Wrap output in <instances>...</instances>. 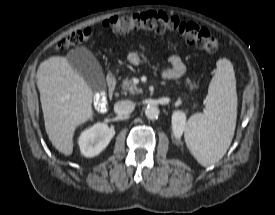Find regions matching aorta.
Masks as SVG:
<instances>
[{
    "label": "aorta",
    "instance_id": "762f6f07",
    "mask_svg": "<svg viewBox=\"0 0 275 215\" xmlns=\"http://www.w3.org/2000/svg\"><path fill=\"white\" fill-rule=\"evenodd\" d=\"M159 113L160 111L156 106H147L145 109V115L150 120L157 119L159 116Z\"/></svg>",
    "mask_w": 275,
    "mask_h": 215
}]
</instances>
